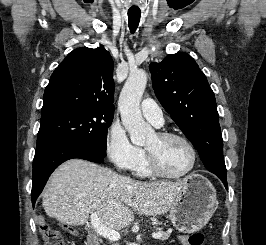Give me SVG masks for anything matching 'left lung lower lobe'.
Returning a JSON list of instances; mask_svg holds the SVG:
<instances>
[{
  "label": "left lung lower lobe",
  "instance_id": "1",
  "mask_svg": "<svg viewBox=\"0 0 266 245\" xmlns=\"http://www.w3.org/2000/svg\"><path fill=\"white\" fill-rule=\"evenodd\" d=\"M220 178V180L223 182L225 188L227 189L228 188V185H227V177L226 176H218Z\"/></svg>",
  "mask_w": 266,
  "mask_h": 245
}]
</instances>
